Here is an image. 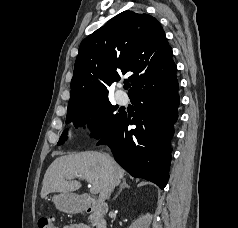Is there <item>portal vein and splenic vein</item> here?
<instances>
[{
	"label": "portal vein and splenic vein",
	"instance_id": "18ae733b",
	"mask_svg": "<svg viewBox=\"0 0 238 228\" xmlns=\"http://www.w3.org/2000/svg\"><path fill=\"white\" fill-rule=\"evenodd\" d=\"M82 179H85V180H87L88 182L90 181V179L89 178H82ZM90 192H91V194H98V189L94 186V185H92L91 187H90Z\"/></svg>",
	"mask_w": 238,
	"mask_h": 228
}]
</instances>
